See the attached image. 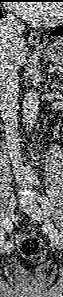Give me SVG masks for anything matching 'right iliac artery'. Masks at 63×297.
I'll list each match as a JSON object with an SVG mask.
<instances>
[{
    "instance_id": "right-iliac-artery-1",
    "label": "right iliac artery",
    "mask_w": 63,
    "mask_h": 297,
    "mask_svg": "<svg viewBox=\"0 0 63 297\" xmlns=\"http://www.w3.org/2000/svg\"><path fill=\"white\" fill-rule=\"evenodd\" d=\"M3 226H4V229L1 230V234H3L5 230L7 232H11L13 230V225L11 224V222L6 223L5 220H3Z\"/></svg>"
}]
</instances>
